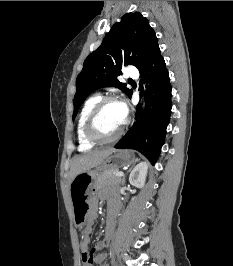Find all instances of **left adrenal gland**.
<instances>
[{"label":"left adrenal gland","mask_w":233,"mask_h":266,"mask_svg":"<svg viewBox=\"0 0 233 266\" xmlns=\"http://www.w3.org/2000/svg\"><path fill=\"white\" fill-rule=\"evenodd\" d=\"M139 161V159H135L134 160V163H136V162H138ZM122 184H124L125 183V176H123V178H122V182H121Z\"/></svg>","instance_id":"a2214340"}]
</instances>
